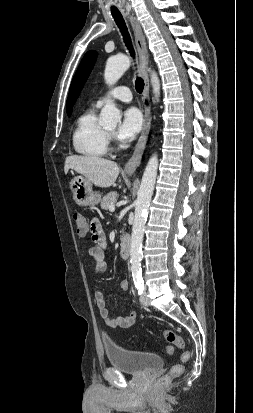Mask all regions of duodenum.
<instances>
[{"label":"duodenum","mask_w":253,"mask_h":413,"mask_svg":"<svg viewBox=\"0 0 253 413\" xmlns=\"http://www.w3.org/2000/svg\"><path fill=\"white\" fill-rule=\"evenodd\" d=\"M120 255L124 260L130 256V237L128 235H124L121 239Z\"/></svg>","instance_id":"410a0bca"}]
</instances>
